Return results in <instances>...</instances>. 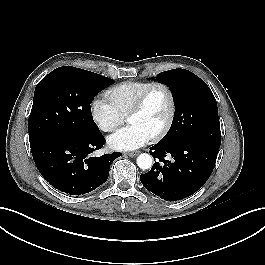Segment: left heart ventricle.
<instances>
[{"label": "left heart ventricle", "instance_id": "b2bd125f", "mask_svg": "<svg viewBox=\"0 0 265 265\" xmlns=\"http://www.w3.org/2000/svg\"><path fill=\"white\" fill-rule=\"evenodd\" d=\"M169 110L167 94L160 88L149 95L143 109L128 118L129 124H135L154 135L163 125Z\"/></svg>", "mask_w": 265, "mask_h": 265}]
</instances>
